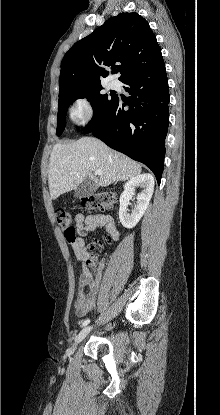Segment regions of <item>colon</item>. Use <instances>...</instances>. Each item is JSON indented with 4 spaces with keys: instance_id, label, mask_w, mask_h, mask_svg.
Segmentation results:
<instances>
[{
    "instance_id": "obj_1",
    "label": "colon",
    "mask_w": 220,
    "mask_h": 415,
    "mask_svg": "<svg viewBox=\"0 0 220 415\" xmlns=\"http://www.w3.org/2000/svg\"><path fill=\"white\" fill-rule=\"evenodd\" d=\"M118 202L117 195L110 191H98L91 194L82 200V207L90 211H106L113 209ZM57 223L64 229L65 232L73 231L75 223L70 213L66 210L59 209L55 213ZM100 244L92 242L88 245L90 253L94 252ZM90 269L96 270L99 267L97 258L90 255L87 261Z\"/></svg>"
}]
</instances>
